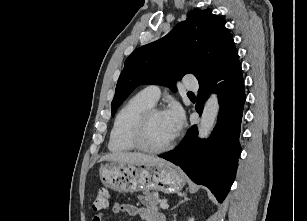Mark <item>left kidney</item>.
<instances>
[{"instance_id":"left-kidney-1","label":"left kidney","mask_w":307,"mask_h":221,"mask_svg":"<svg viewBox=\"0 0 307 221\" xmlns=\"http://www.w3.org/2000/svg\"><path fill=\"white\" fill-rule=\"evenodd\" d=\"M188 221H194V218H190Z\"/></svg>"}]
</instances>
